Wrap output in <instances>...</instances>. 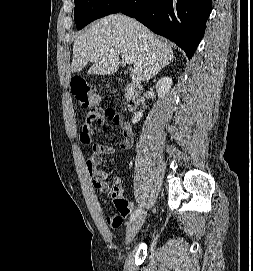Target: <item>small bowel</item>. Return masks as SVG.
<instances>
[{"instance_id": "obj_1", "label": "small bowel", "mask_w": 253, "mask_h": 271, "mask_svg": "<svg viewBox=\"0 0 253 271\" xmlns=\"http://www.w3.org/2000/svg\"><path fill=\"white\" fill-rule=\"evenodd\" d=\"M109 124H112L122 132L123 138L119 142V147L121 149H129L134 142L133 131L130 125L120 117L119 121L107 118L100 110L91 111L85 116L80 134L82 144L91 145L92 151L86 160V170L90 176L92 185L100 191L108 190L106 180L108 179L109 174L99 167L102 164L103 156L112 155L115 152V147L101 143L92 144V135L95 125L106 126ZM115 185H117V183ZM132 209L133 203L126 202V210L121 213V216H127Z\"/></svg>"}]
</instances>
